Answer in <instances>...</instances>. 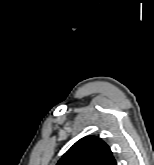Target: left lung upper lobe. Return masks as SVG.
I'll list each match as a JSON object with an SVG mask.
<instances>
[{
    "instance_id": "5c2ea615",
    "label": "left lung upper lobe",
    "mask_w": 154,
    "mask_h": 165,
    "mask_svg": "<svg viewBox=\"0 0 154 165\" xmlns=\"http://www.w3.org/2000/svg\"><path fill=\"white\" fill-rule=\"evenodd\" d=\"M57 165H116V161L105 142L95 136H87L77 141Z\"/></svg>"
}]
</instances>
